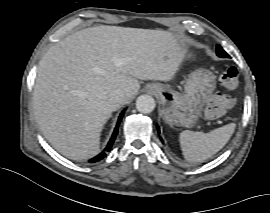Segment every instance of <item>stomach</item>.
Instances as JSON below:
<instances>
[{
    "label": "stomach",
    "instance_id": "stomach-1",
    "mask_svg": "<svg viewBox=\"0 0 270 213\" xmlns=\"http://www.w3.org/2000/svg\"><path fill=\"white\" fill-rule=\"evenodd\" d=\"M190 57L191 54L187 51L185 58ZM215 87L214 74L205 69H198L190 74L183 93L161 83L147 85V88L154 91L160 99L164 121L171 126L186 128L196 124Z\"/></svg>",
    "mask_w": 270,
    "mask_h": 213
}]
</instances>
